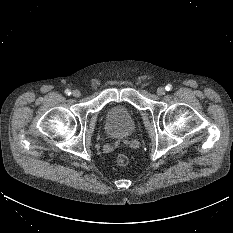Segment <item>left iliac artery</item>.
Instances as JSON below:
<instances>
[{"label": "left iliac artery", "mask_w": 233, "mask_h": 233, "mask_svg": "<svg viewBox=\"0 0 233 233\" xmlns=\"http://www.w3.org/2000/svg\"><path fill=\"white\" fill-rule=\"evenodd\" d=\"M166 91H170V90H172V85L171 84H168L167 86H166Z\"/></svg>", "instance_id": "obj_1"}]
</instances>
